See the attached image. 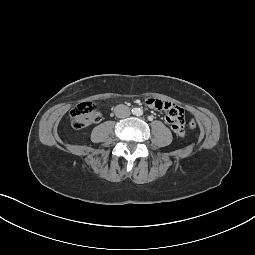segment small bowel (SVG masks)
Instances as JSON below:
<instances>
[{"mask_svg": "<svg viewBox=\"0 0 255 255\" xmlns=\"http://www.w3.org/2000/svg\"><path fill=\"white\" fill-rule=\"evenodd\" d=\"M146 103L151 108L165 113L166 120L176 136H183L186 133L185 112L180 106L157 98H148Z\"/></svg>", "mask_w": 255, "mask_h": 255, "instance_id": "1", "label": "small bowel"}]
</instances>
